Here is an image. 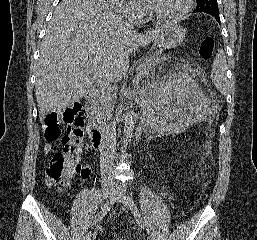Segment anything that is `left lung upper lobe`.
Returning a JSON list of instances; mask_svg holds the SVG:
<instances>
[{
    "mask_svg": "<svg viewBox=\"0 0 257 240\" xmlns=\"http://www.w3.org/2000/svg\"><path fill=\"white\" fill-rule=\"evenodd\" d=\"M197 6L194 12L207 13L219 17L217 0H196Z\"/></svg>",
    "mask_w": 257,
    "mask_h": 240,
    "instance_id": "left-lung-upper-lobe-1",
    "label": "left lung upper lobe"
}]
</instances>
